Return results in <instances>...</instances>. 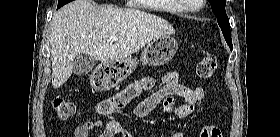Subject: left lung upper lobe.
Listing matches in <instances>:
<instances>
[{"mask_svg": "<svg viewBox=\"0 0 280 137\" xmlns=\"http://www.w3.org/2000/svg\"><path fill=\"white\" fill-rule=\"evenodd\" d=\"M211 4L212 11L217 17V22L222 30L224 38L232 50V39H231V30L230 23L227 17L225 6L226 0H208Z\"/></svg>", "mask_w": 280, "mask_h": 137, "instance_id": "left-lung-upper-lobe-1", "label": "left lung upper lobe"}]
</instances>
